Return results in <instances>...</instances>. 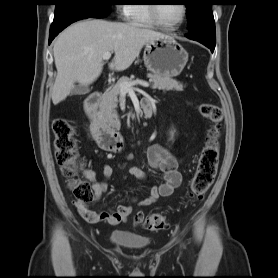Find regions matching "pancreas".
I'll list each match as a JSON object with an SVG mask.
<instances>
[{
	"mask_svg": "<svg viewBox=\"0 0 278 278\" xmlns=\"http://www.w3.org/2000/svg\"><path fill=\"white\" fill-rule=\"evenodd\" d=\"M148 77L150 81L153 82L152 89L182 91L184 87L180 82L168 76L148 74ZM124 82L130 83L132 79L121 77L119 81L115 85L110 86L102 96L100 114L105 121L111 124H114L118 119L116 108L118 107V96L121 93L120 84Z\"/></svg>",
	"mask_w": 278,
	"mask_h": 278,
	"instance_id": "pancreas-1",
	"label": "pancreas"
}]
</instances>
